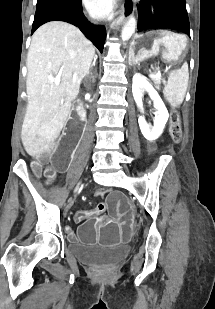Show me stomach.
<instances>
[{"mask_svg": "<svg viewBox=\"0 0 215 309\" xmlns=\"http://www.w3.org/2000/svg\"><path fill=\"white\" fill-rule=\"evenodd\" d=\"M187 37L166 29H153L134 35L129 46V62L137 64L157 55L168 62H177L186 56Z\"/></svg>", "mask_w": 215, "mask_h": 309, "instance_id": "1", "label": "stomach"}]
</instances>
